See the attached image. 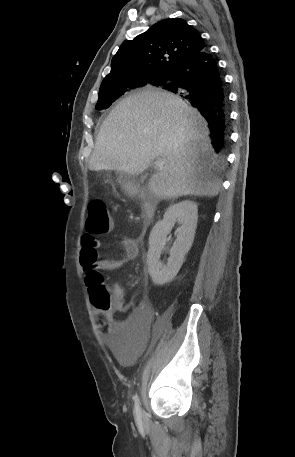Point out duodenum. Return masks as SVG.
<instances>
[{
    "instance_id": "duodenum-1",
    "label": "duodenum",
    "mask_w": 295,
    "mask_h": 457,
    "mask_svg": "<svg viewBox=\"0 0 295 457\" xmlns=\"http://www.w3.org/2000/svg\"><path fill=\"white\" fill-rule=\"evenodd\" d=\"M155 213V208L154 205L151 202L145 201L143 205V211H142V222L144 226H148Z\"/></svg>"
}]
</instances>
